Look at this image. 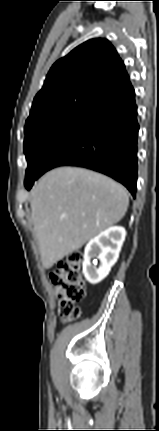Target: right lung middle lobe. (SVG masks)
Returning <instances> with one entry per match:
<instances>
[{
    "instance_id": "1",
    "label": "right lung middle lobe",
    "mask_w": 159,
    "mask_h": 431,
    "mask_svg": "<svg viewBox=\"0 0 159 431\" xmlns=\"http://www.w3.org/2000/svg\"><path fill=\"white\" fill-rule=\"evenodd\" d=\"M86 118L74 113H54L25 125L24 153L28 163L25 183L38 175L51 147Z\"/></svg>"
}]
</instances>
